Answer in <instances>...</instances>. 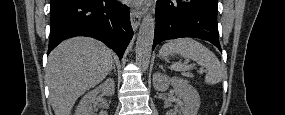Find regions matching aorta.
<instances>
[{"label": "aorta", "mask_w": 285, "mask_h": 115, "mask_svg": "<svg viewBox=\"0 0 285 115\" xmlns=\"http://www.w3.org/2000/svg\"><path fill=\"white\" fill-rule=\"evenodd\" d=\"M154 32L155 19L152 15L147 14L142 20L136 41V62L144 71L149 67Z\"/></svg>", "instance_id": "aorta-1"}]
</instances>
